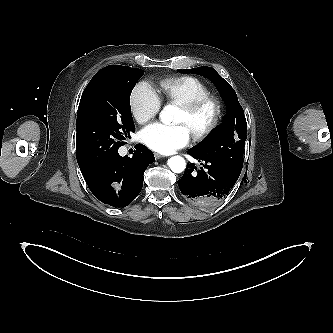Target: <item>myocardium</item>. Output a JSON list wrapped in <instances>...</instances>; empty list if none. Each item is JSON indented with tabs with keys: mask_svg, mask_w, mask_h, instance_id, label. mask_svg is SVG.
Wrapping results in <instances>:
<instances>
[{
	"mask_svg": "<svg viewBox=\"0 0 333 333\" xmlns=\"http://www.w3.org/2000/svg\"><path fill=\"white\" fill-rule=\"evenodd\" d=\"M208 106L214 108V115L210 123L204 129L191 133L193 139L198 142L209 137L219 127L224 117V104L219 97L209 94L191 103L180 106V109L189 118L196 116Z\"/></svg>",
	"mask_w": 333,
	"mask_h": 333,
	"instance_id": "obj_1",
	"label": "myocardium"
}]
</instances>
